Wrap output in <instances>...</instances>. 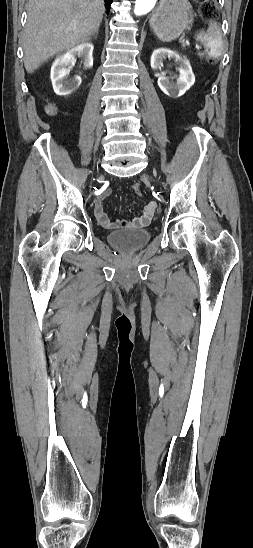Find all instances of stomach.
<instances>
[{"label":"stomach","mask_w":253,"mask_h":548,"mask_svg":"<svg viewBox=\"0 0 253 548\" xmlns=\"http://www.w3.org/2000/svg\"><path fill=\"white\" fill-rule=\"evenodd\" d=\"M193 21L188 0H162L150 19V27L163 42L178 38Z\"/></svg>","instance_id":"stomach-1"}]
</instances>
